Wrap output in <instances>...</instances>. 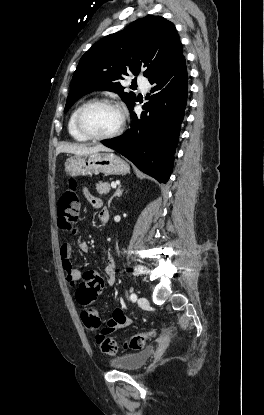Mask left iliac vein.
Segmentation results:
<instances>
[{
	"label": "left iliac vein",
	"instance_id": "4c4485c4",
	"mask_svg": "<svg viewBox=\"0 0 264 415\" xmlns=\"http://www.w3.org/2000/svg\"><path fill=\"white\" fill-rule=\"evenodd\" d=\"M148 299L147 298H145V297H140L139 299H138V304L141 306V307H145V306H147L148 305Z\"/></svg>",
	"mask_w": 264,
	"mask_h": 415
}]
</instances>
